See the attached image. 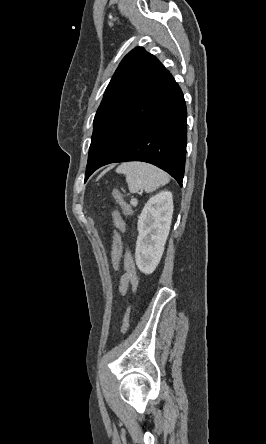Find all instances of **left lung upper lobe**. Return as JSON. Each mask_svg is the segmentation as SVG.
<instances>
[{
	"label": "left lung upper lobe",
	"instance_id": "obj_1",
	"mask_svg": "<svg viewBox=\"0 0 266 444\" xmlns=\"http://www.w3.org/2000/svg\"><path fill=\"white\" fill-rule=\"evenodd\" d=\"M169 75V71L159 60L142 47L129 52L120 62L106 88L94 118L92 138L112 115L144 95Z\"/></svg>",
	"mask_w": 266,
	"mask_h": 444
}]
</instances>
